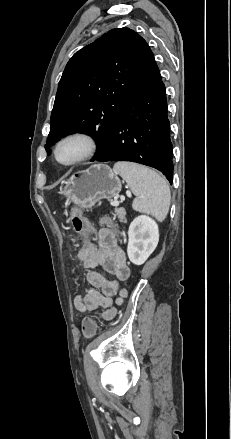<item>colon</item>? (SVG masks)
<instances>
[{"label":"colon","mask_w":231,"mask_h":439,"mask_svg":"<svg viewBox=\"0 0 231 439\" xmlns=\"http://www.w3.org/2000/svg\"><path fill=\"white\" fill-rule=\"evenodd\" d=\"M71 222H72V226L73 229L77 232V233H88L90 231V225L88 223V221L80 214L79 210L77 209H73L72 211V215H71ZM101 223L111 226V227H115L114 224L107 218H102L101 219ZM91 252H86V254H82L80 255L78 262L81 265L86 264V262L89 261V257H91ZM91 318H87L83 321V332L85 334L86 337H93L96 333L97 330V324L95 322L94 319H96V315H97V310L96 308H91Z\"/></svg>","instance_id":"1"}]
</instances>
